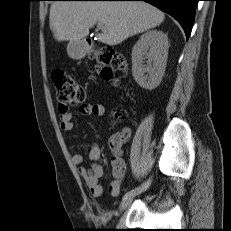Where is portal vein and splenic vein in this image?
Listing matches in <instances>:
<instances>
[{"label":"portal vein and splenic vein","instance_id":"1","mask_svg":"<svg viewBox=\"0 0 231 231\" xmlns=\"http://www.w3.org/2000/svg\"><path fill=\"white\" fill-rule=\"evenodd\" d=\"M98 28L103 30V25L98 23Z\"/></svg>","mask_w":231,"mask_h":231}]
</instances>
